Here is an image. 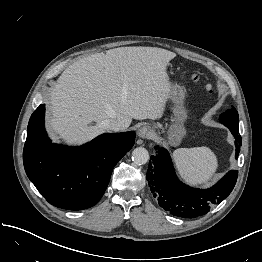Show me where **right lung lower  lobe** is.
I'll return each instance as SVG.
<instances>
[{"label":"right lung lower lobe","mask_w":262,"mask_h":262,"mask_svg":"<svg viewBox=\"0 0 262 262\" xmlns=\"http://www.w3.org/2000/svg\"><path fill=\"white\" fill-rule=\"evenodd\" d=\"M44 104L31 115L23 150L27 176L52 205L67 210L94 206L118 161L132 148L135 132L106 133L80 147L53 144L44 127Z\"/></svg>","instance_id":"obj_1"}]
</instances>
